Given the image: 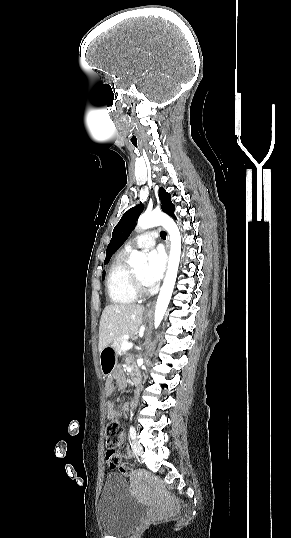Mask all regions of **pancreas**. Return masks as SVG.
<instances>
[{
  "mask_svg": "<svg viewBox=\"0 0 291 538\" xmlns=\"http://www.w3.org/2000/svg\"><path fill=\"white\" fill-rule=\"evenodd\" d=\"M124 342H127V339L121 337L113 343V347L118 355H123L126 352V350L121 347Z\"/></svg>",
  "mask_w": 291,
  "mask_h": 538,
  "instance_id": "cf45deb5",
  "label": "pancreas"
}]
</instances>
